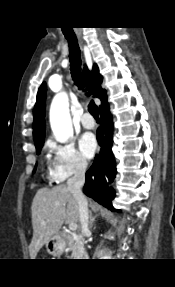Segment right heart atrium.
I'll use <instances>...</instances> for the list:
<instances>
[{"mask_svg": "<svg viewBox=\"0 0 175 287\" xmlns=\"http://www.w3.org/2000/svg\"><path fill=\"white\" fill-rule=\"evenodd\" d=\"M47 149L52 155L49 177L53 182H62L70 176L84 172L88 162L72 142H47Z\"/></svg>", "mask_w": 175, "mask_h": 287, "instance_id": "obj_1", "label": "right heart atrium"}]
</instances>
